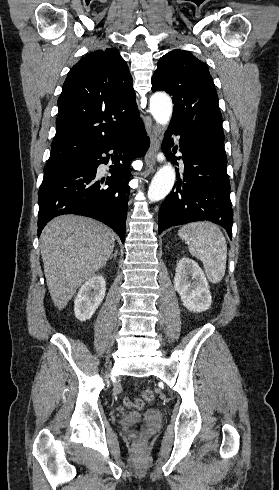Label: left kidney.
Masks as SVG:
<instances>
[{
  "label": "left kidney",
  "mask_w": 279,
  "mask_h": 490,
  "mask_svg": "<svg viewBox=\"0 0 279 490\" xmlns=\"http://www.w3.org/2000/svg\"><path fill=\"white\" fill-rule=\"evenodd\" d=\"M175 292H178L183 306L189 312H206L212 302L206 276L197 262L181 258L177 264L174 278Z\"/></svg>",
  "instance_id": "left-kidney-1"
}]
</instances>
